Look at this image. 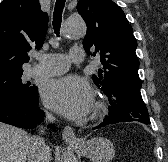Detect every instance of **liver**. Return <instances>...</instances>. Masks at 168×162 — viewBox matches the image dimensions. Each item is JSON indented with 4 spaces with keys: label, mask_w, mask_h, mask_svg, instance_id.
<instances>
[{
    "label": "liver",
    "mask_w": 168,
    "mask_h": 162,
    "mask_svg": "<svg viewBox=\"0 0 168 162\" xmlns=\"http://www.w3.org/2000/svg\"><path fill=\"white\" fill-rule=\"evenodd\" d=\"M29 140L26 131L0 122V162H26Z\"/></svg>",
    "instance_id": "6515ba94"
}]
</instances>
